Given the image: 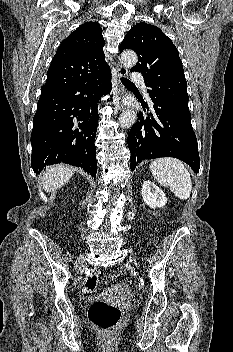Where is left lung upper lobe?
Instances as JSON below:
<instances>
[{
  "label": "left lung upper lobe",
  "mask_w": 233,
  "mask_h": 352,
  "mask_svg": "<svg viewBox=\"0 0 233 352\" xmlns=\"http://www.w3.org/2000/svg\"><path fill=\"white\" fill-rule=\"evenodd\" d=\"M132 49L138 56L131 72H141L149 95L188 108L187 81L177 48L158 27L138 23L126 34L119 50ZM189 109V108H188Z\"/></svg>",
  "instance_id": "1"
}]
</instances>
